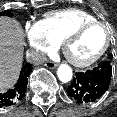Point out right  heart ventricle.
<instances>
[{"mask_svg": "<svg viewBox=\"0 0 117 117\" xmlns=\"http://www.w3.org/2000/svg\"><path fill=\"white\" fill-rule=\"evenodd\" d=\"M96 21L90 13L81 9H65L49 12L41 21L49 34L59 43L79 25Z\"/></svg>", "mask_w": 117, "mask_h": 117, "instance_id": "obj_1", "label": "right heart ventricle"}]
</instances>
